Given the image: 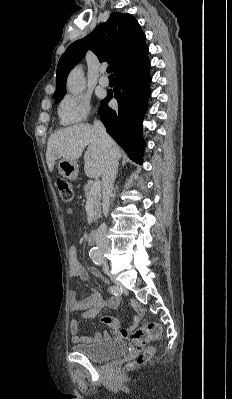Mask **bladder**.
<instances>
[{"mask_svg": "<svg viewBox=\"0 0 232 399\" xmlns=\"http://www.w3.org/2000/svg\"><path fill=\"white\" fill-rule=\"evenodd\" d=\"M73 351L95 362L117 359L127 353L128 347L124 341H106L97 343H76Z\"/></svg>", "mask_w": 232, "mask_h": 399, "instance_id": "31cf9c89", "label": "bladder"}]
</instances>
